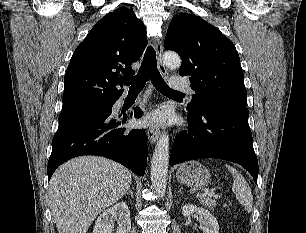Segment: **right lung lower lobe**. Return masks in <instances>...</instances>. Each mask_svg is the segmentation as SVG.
Returning a JSON list of instances; mask_svg holds the SVG:
<instances>
[{"mask_svg":"<svg viewBox=\"0 0 306 233\" xmlns=\"http://www.w3.org/2000/svg\"><path fill=\"white\" fill-rule=\"evenodd\" d=\"M112 110L84 114L59 123L53 137L52 153L48 161V178L58 166L69 159L82 155H98L112 159L135 174L144 175L147 162L145 131L119 127L125 123L111 116ZM140 108L134 116L140 118ZM132 116V113H131Z\"/></svg>","mask_w":306,"mask_h":233,"instance_id":"obj_1","label":"right lung lower lobe"}]
</instances>
